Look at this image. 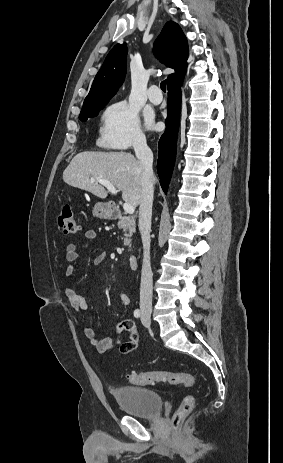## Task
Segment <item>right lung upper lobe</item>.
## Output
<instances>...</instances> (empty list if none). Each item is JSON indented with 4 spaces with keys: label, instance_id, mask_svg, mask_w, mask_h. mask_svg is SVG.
<instances>
[{
    "label": "right lung upper lobe",
    "instance_id": "right-lung-upper-lobe-1",
    "mask_svg": "<svg viewBox=\"0 0 283 463\" xmlns=\"http://www.w3.org/2000/svg\"><path fill=\"white\" fill-rule=\"evenodd\" d=\"M154 53L162 63L174 69L178 74V76L172 74L168 77V85L181 81L186 71L188 44L177 23L169 21L165 24L154 43ZM126 61V43L116 44L97 73L83 106L111 99L124 81Z\"/></svg>",
    "mask_w": 283,
    "mask_h": 463
}]
</instances>
